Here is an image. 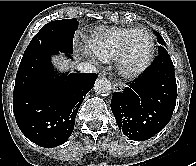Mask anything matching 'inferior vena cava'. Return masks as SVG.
<instances>
[{
  "instance_id": "obj_1",
  "label": "inferior vena cava",
  "mask_w": 196,
  "mask_h": 166,
  "mask_svg": "<svg viewBox=\"0 0 196 166\" xmlns=\"http://www.w3.org/2000/svg\"><path fill=\"white\" fill-rule=\"evenodd\" d=\"M77 69L81 73H95L97 72L96 67L88 62H82L77 65Z\"/></svg>"
}]
</instances>
